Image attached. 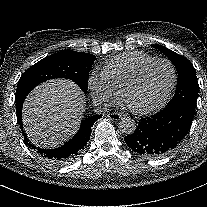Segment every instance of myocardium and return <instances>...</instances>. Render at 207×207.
<instances>
[{"label":"myocardium","instance_id":"myocardium-1","mask_svg":"<svg viewBox=\"0 0 207 207\" xmlns=\"http://www.w3.org/2000/svg\"><path fill=\"white\" fill-rule=\"evenodd\" d=\"M157 63H165L166 65H168L170 67L171 73H172L171 85H170L169 90L167 92V95L165 97L164 103H167L170 100V98L172 97L173 93H174L176 83H177V72H176V68H175L174 64L170 60L165 59V58L154 59V60L146 63L126 83V85H125V87L122 91V99H123L124 103L128 106L129 110L135 115L142 116V115H145L147 113V111H138V110H135V109L131 108L128 105V96H129L131 90L141 81V79L143 78L145 73L148 71V69L151 68L153 65H155Z\"/></svg>","mask_w":207,"mask_h":207}]
</instances>
